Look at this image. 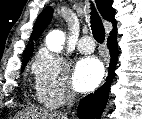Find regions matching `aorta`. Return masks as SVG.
Returning a JSON list of instances; mask_svg holds the SVG:
<instances>
[{
	"instance_id": "1",
	"label": "aorta",
	"mask_w": 142,
	"mask_h": 119,
	"mask_svg": "<svg viewBox=\"0 0 142 119\" xmlns=\"http://www.w3.org/2000/svg\"><path fill=\"white\" fill-rule=\"evenodd\" d=\"M65 41V34L60 30L50 32L46 37V45L52 52H60Z\"/></svg>"
}]
</instances>
